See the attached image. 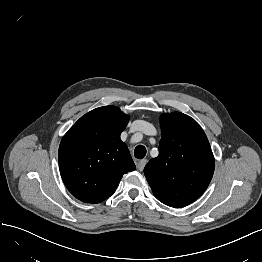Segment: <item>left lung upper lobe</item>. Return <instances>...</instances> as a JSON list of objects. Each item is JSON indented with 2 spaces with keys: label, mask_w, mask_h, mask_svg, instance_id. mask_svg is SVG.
<instances>
[{
  "label": "left lung upper lobe",
  "mask_w": 262,
  "mask_h": 262,
  "mask_svg": "<svg viewBox=\"0 0 262 262\" xmlns=\"http://www.w3.org/2000/svg\"><path fill=\"white\" fill-rule=\"evenodd\" d=\"M159 155L144 168L158 200L170 207H184L207 189L215 167L209 141L200 125L181 112L160 118Z\"/></svg>",
  "instance_id": "5c2ea615"
}]
</instances>
